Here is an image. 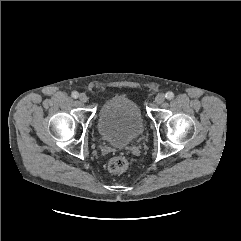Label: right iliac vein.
<instances>
[{"label":"right iliac vein","mask_w":241,"mask_h":241,"mask_svg":"<svg viewBox=\"0 0 241 241\" xmlns=\"http://www.w3.org/2000/svg\"><path fill=\"white\" fill-rule=\"evenodd\" d=\"M79 100H80L81 102H83V103H86V102L88 101V97H87V95H86L85 93H81V94L79 95Z\"/></svg>","instance_id":"63e3f726"}]
</instances>
